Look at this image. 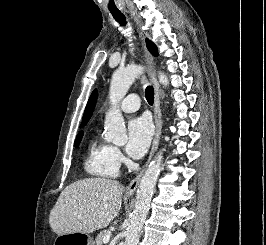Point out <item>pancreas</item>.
I'll list each match as a JSON object with an SVG mask.
<instances>
[{
  "instance_id": "pancreas-1",
  "label": "pancreas",
  "mask_w": 266,
  "mask_h": 245,
  "mask_svg": "<svg viewBox=\"0 0 266 245\" xmlns=\"http://www.w3.org/2000/svg\"><path fill=\"white\" fill-rule=\"evenodd\" d=\"M106 235H110L109 231H101V233H99L95 239L96 245H104L103 237H106Z\"/></svg>"
}]
</instances>
